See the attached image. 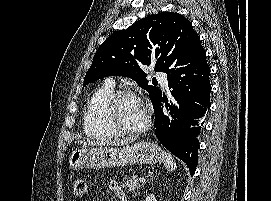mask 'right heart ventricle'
<instances>
[{"mask_svg":"<svg viewBox=\"0 0 271 201\" xmlns=\"http://www.w3.org/2000/svg\"><path fill=\"white\" fill-rule=\"evenodd\" d=\"M112 94L113 88L105 85L97 89L88 100L83 114V127L88 137L108 140L119 136L105 114L106 103Z\"/></svg>","mask_w":271,"mask_h":201,"instance_id":"e07e8e85","label":"right heart ventricle"}]
</instances>
